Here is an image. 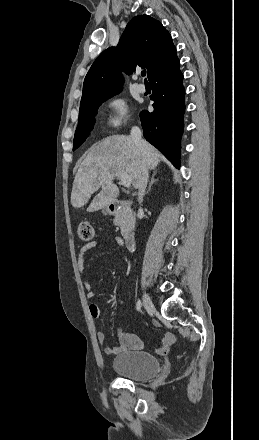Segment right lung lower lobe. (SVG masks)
I'll return each mask as SVG.
<instances>
[{
    "label": "right lung lower lobe",
    "mask_w": 259,
    "mask_h": 440,
    "mask_svg": "<svg viewBox=\"0 0 259 440\" xmlns=\"http://www.w3.org/2000/svg\"><path fill=\"white\" fill-rule=\"evenodd\" d=\"M180 62L175 55L150 78L154 101L153 112L140 113L145 139L179 168L180 139L183 132L185 89Z\"/></svg>",
    "instance_id": "right-lung-lower-lobe-1"
}]
</instances>
